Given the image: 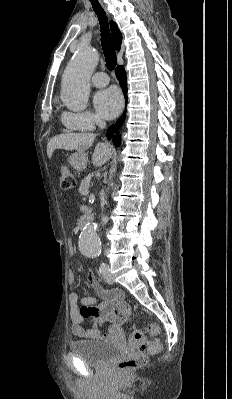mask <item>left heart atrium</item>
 I'll list each match as a JSON object with an SVG mask.
<instances>
[{
  "label": "left heart atrium",
  "mask_w": 232,
  "mask_h": 399,
  "mask_svg": "<svg viewBox=\"0 0 232 399\" xmlns=\"http://www.w3.org/2000/svg\"><path fill=\"white\" fill-rule=\"evenodd\" d=\"M94 105L101 118L112 120L118 116L122 109V99L114 88H109L96 94Z\"/></svg>",
  "instance_id": "1"
}]
</instances>
